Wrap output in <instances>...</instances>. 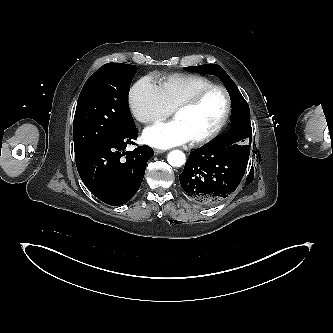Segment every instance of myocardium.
Masks as SVG:
<instances>
[{
    "mask_svg": "<svg viewBox=\"0 0 333 333\" xmlns=\"http://www.w3.org/2000/svg\"><path fill=\"white\" fill-rule=\"evenodd\" d=\"M213 91L222 92L226 98V108L224 115L220 120V122L218 123V125L211 132L198 139L191 140V144L193 146L199 147L213 141L224 130L232 112V98L229 91L225 87L220 85H214V84L210 85L208 87L202 88L201 90L197 91L191 97L178 104L173 110V115L175 117V115H177L179 112L197 106L204 99L205 96H207L209 93Z\"/></svg>",
    "mask_w": 333,
    "mask_h": 333,
    "instance_id": "1",
    "label": "myocardium"
}]
</instances>
